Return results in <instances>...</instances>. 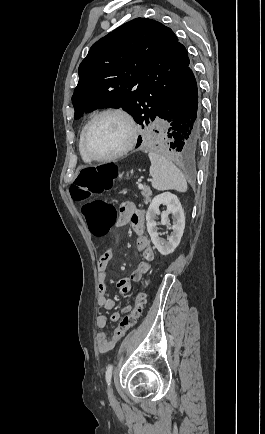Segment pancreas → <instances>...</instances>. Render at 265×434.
<instances>
[{
    "mask_svg": "<svg viewBox=\"0 0 265 434\" xmlns=\"http://www.w3.org/2000/svg\"><path fill=\"white\" fill-rule=\"evenodd\" d=\"M141 194L145 198V204H148V202H151L150 196H152V192H151L150 188H148V186H143Z\"/></svg>",
    "mask_w": 265,
    "mask_h": 434,
    "instance_id": "1",
    "label": "pancreas"
}]
</instances>
